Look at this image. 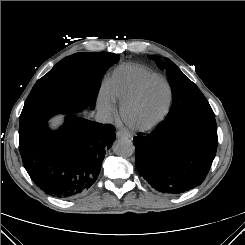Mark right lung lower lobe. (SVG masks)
Segmentation results:
<instances>
[{
    "mask_svg": "<svg viewBox=\"0 0 245 245\" xmlns=\"http://www.w3.org/2000/svg\"><path fill=\"white\" fill-rule=\"evenodd\" d=\"M78 63L85 77L100 84L105 69L98 57L85 55ZM115 136L110 124L67 114L57 131H50L44 123L19 134V150L26 171L39 188L57 198H74L96 181Z\"/></svg>",
    "mask_w": 245,
    "mask_h": 245,
    "instance_id": "right-lung-lower-lobe-1",
    "label": "right lung lower lobe"
}]
</instances>
